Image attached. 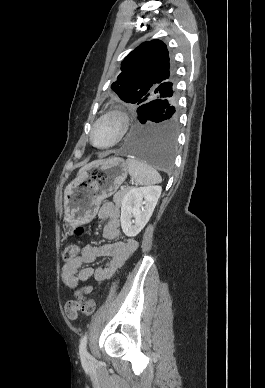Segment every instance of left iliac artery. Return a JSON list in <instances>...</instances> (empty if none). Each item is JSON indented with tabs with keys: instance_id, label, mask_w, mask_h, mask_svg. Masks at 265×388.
Returning a JSON list of instances; mask_svg holds the SVG:
<instances>
[{
	"instance_id": "left-iliac-artery-1",
	"label": "left iliac artery",
	"mask_w": 265,
	"mask_h": 388,
	"mask_svg": "<svg viewBox=\"0 0 265 388\" xmlns=\"http://www.w3.org/2000/svg\"><path fill=\"white\" fill-rule=\"evenodd\" d=\"M86 345H87V334H85L82 337L80 345H79V353H80V356H82V357H87L88 356Z\"/></svg>"
}]
</instances>
